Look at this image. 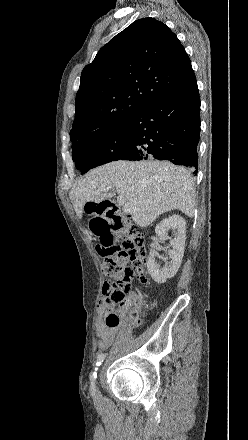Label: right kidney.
Returning <instances> with one entry per match:
<instances>
[{"label":"right kidney","mask_w":248,"mask_h":440,"mask_svg":"<svg viewBox=\"0 0 248 440\" xmlns=\"http://www.w3.org/2000/svg\"><path fill=\"white\" fill-rule=\"evenodd\" d=\"M171 230L174 234V239L170 241L172 249L169 250V257L171 261L164 267L160 268V265L156 262L157 255L156 248L158 242L154 241L152 244L153 249L150 251L147 260V269L152 279L162 284L174 277L181 265L182 258L185 249L186 239V221L180 215H172L163 219L155 228V232L159 237H166L168 231Z\"/></svg>","instance_id":"right-kidney-1"}]
</instances>
